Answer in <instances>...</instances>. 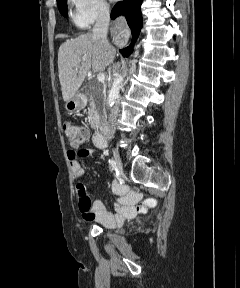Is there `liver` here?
Masks as SVG:
<instances>
[{
    "label": "liver",
    "instance_id": "1",
    "mask_svg": "<svg viewBox=\"0 0 240 288\" xmlns=\"http://www.w3.org/2000/svg\"><path fill=\"white\" fill-rule=\"evenodd\" d=\"M115 49L86 33L64 42L58 51V71L63 100L69 101L89 71L102 72L113 61Z\"/></svg>",
    "mask_w": 240,
    "mask_h": 288
}]
</instances>
